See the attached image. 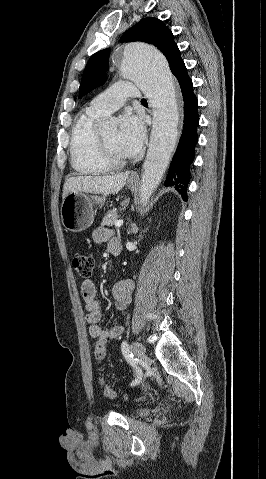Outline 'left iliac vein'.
Listing matches in <instances>:
<instances>
[{
  "label": "left iliac vein",
  "mask_w": 266,
  "mask_h": 479,
  "mask_svg": "<svg viewBox=\"0 0 266 479\" xmlns=\"http://www.w3.org/2000/svg\"><path fill=\"white\" fill-rule=\"evenodd\" d=\"M131 350L138 358L144 360L146 358V352L144 347L137 342L132 343Z\"/></svg>",
  "instance_id": "1"
}]
</instances>
